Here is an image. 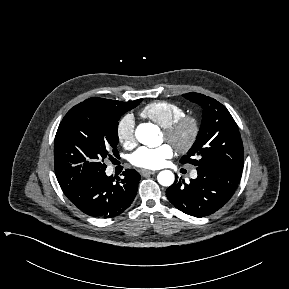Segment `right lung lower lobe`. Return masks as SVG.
I'll use <instances>...</instances> for the list:
<instances>
[{"label":"right lung lower lobe","mask_w":289,"mask_h":289,"mask_svg":"<svg viewBox=\"0 0 289 289\" xmlns=\"http://www.w3.org/2000/svg\"><path fill=\"white\" fill-rule=\"evenodd\" d=\"M123 179L105 172L63 191L83 213L97 218H111L127 209L137 194L140 175L133 169L123 172Z\"/></svg>","instance_id":"obj_1"}]
</instances>
